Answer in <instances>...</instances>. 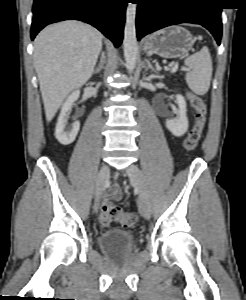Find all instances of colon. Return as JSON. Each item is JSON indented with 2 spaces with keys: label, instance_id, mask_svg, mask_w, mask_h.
Masks as SVG:
<instances>
[{
  "label": "colon",
  "instance_id": "1",
  "mask_svg": "<svg viewBox=\"0 0 246 300\" xmlns=\"http://www.w3.org/2000/svg\"><path fill=\"white\" fill-rule=\"evenodd\" d=\"M188 99L196 114L194 125L185 138L183 146L186 152H192L196 149L202 137L207 120V107L203 99L197 94L188 93ZM102 212L110 221L117 222L125 227L134 226L137 221L135 214L123 211L118 205L112 204L108 198L103 202Z\"/></svg>",
  "mask_w": 246,
  "mask_h": 300
}]
</instances>
